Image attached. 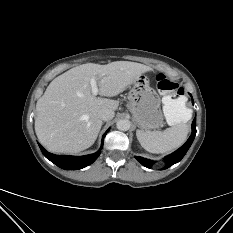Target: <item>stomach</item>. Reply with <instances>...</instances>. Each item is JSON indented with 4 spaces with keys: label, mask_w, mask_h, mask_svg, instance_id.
<instances>
[{
    "label": "stomach",
    "mask_w": 233,
    "mask_h": 233,
    "mask_svg": "<svg viewBox=\"0 0 233 233\" xmlns=\"http://www.w3.org/2000/svg\"><path fill=\"white\" fill-rule=\"evenodd\" d=\"M129 87V109L136 125L145 131L160 127L163 123L160 99L150 87L148 76L139 75Z\"/></svg>",
    "instance_id": "stomach-1"
}]
</instances>
